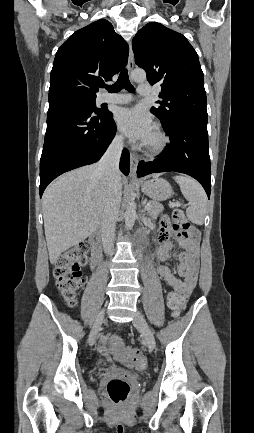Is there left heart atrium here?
<instances>
[{"label":"left heart atrium","mask_w":254,"mask_h":433,"mask_svg":"<svg viewBox=\"0 0 254 433\" xmlns=\"http://www.w3.org/2000/svg\"><path fill=\"white\" fill-rule=\"evenodd\" d=\"M116 120L121 130L135 140L146 142L154 132L151 117L139 107L119 110Z\"/></svg>","instance_id":"1"}]
</instances>
